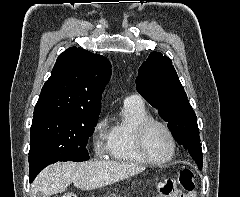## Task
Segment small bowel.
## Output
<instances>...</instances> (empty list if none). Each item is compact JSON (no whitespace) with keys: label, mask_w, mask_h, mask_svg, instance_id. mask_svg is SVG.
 <instances>
[{"label":"small bowel","mask_w":240,"mask_h":197,"mask_svg":"<svg viewBox=\"0 0 240 197\" xmlns=\"http://www.w3.org/2000/svg\"><path fill=\"white\" fill-rule=\"evenodd\" d=\"M165 197H196L195 192L182 193L178 190L172 191L170 194L165 195Z\"/></svg>","instance_id":"small-bowel-1"}]
</instances>
